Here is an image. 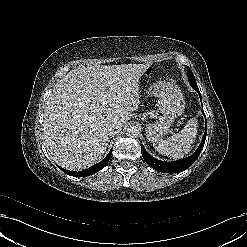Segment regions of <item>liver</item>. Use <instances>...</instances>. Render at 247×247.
Masks as SVG:
<instances>
[{
	"label": "liver",
	"mask_w": 247,
	"mask_h": 247,
	"mask_svg": "<svg viewBox=\"0 0 247 247\" xmlns=\"http://www.w3.org/2000/svg\"><path fill=\"white\" fill-rule=\"evenodd\" d=\"M150 64L88 66L59 80L44 110L43 139L51 160L70 170L100 161L107 125L128 122L140 103L139 79Z\"/></svg>",
	"instance_id": "6515ba94"
}]
</instances>
